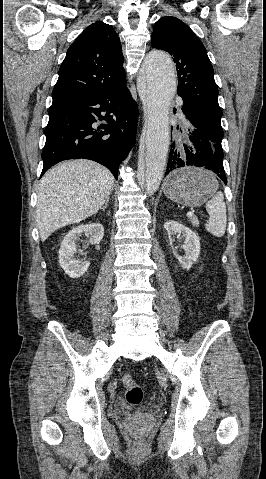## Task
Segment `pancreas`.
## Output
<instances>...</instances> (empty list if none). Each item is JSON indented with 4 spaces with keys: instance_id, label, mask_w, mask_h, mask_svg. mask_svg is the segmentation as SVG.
I'll list each match as a JSON object with an SVG mask.
<instances>
[{
    "instance_id": "1",
    "label": "pancreas",
    "mask_w": 266,
    "mask_h": 479,
    "mask_svg": "<svg viewBox=\"0 0 266 479\" xmlns=\"http://www.w3.org/2000/svg\"><path fill=\"white\" fill-rule=\"evenodd\" d=\"M189 221L191 222V224L194 226V227H199V221L196 217H190L189 218Z\"/></svg>"
}]
</instances>
